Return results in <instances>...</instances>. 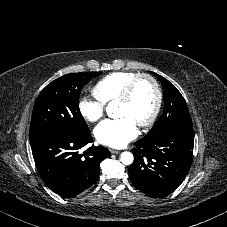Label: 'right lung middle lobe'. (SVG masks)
Instances as JSON below:
<instances>
[{
  "label": "right lung middle lobe",
  "instance_id": "obj_1",
  "mask_svg": "<svg viewBox=\"0 0 227 227\" xmlns=\"http://www.w3.org/2000/svg\"><path fill=\"white\" fill-rule=\"evenodd\" d=\"M101 73L81 72L64 75L48 84L34 104L30 140L48 131H90L80 113L78 100L82 88Z\"/></svg>",
  "mask_w": 227,
  "mask_h": 227
}]
</instances>
